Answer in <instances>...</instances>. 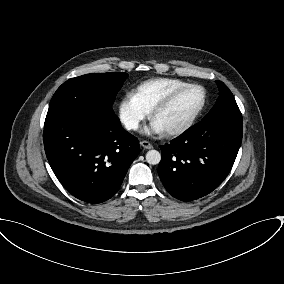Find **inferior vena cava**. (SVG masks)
I'll use <instances>...</instances> for the list:
<instances>
[{
    "label": "inferior vena cava",
    "instance_id": "1",
    "mask_svg": "<svg viewBox=\"0 0 284 284\" xmlns=\"http://www.w3.org/2000/svg\"><path fill=\"white\" fill-rule=\"evenodd\" d=\"M126 128L128 130H130V129L136 130L138 128V123L136 121H129V122L126 123Z\"/></svg>",
    "mask_w": 284,
    "mask_h": 284
}]
</instances>
